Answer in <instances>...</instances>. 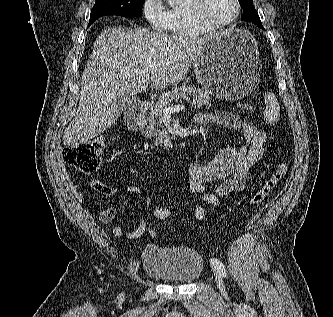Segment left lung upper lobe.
<instances>
[{"instance_id": "obj_1", "label": "left lung upper lobe", "mask_w": 333, "mask_h": 317, "mask_svg": "<svg viewBox=\"0 0 333 317\" xmlns=\"http://www.w3.org/2000/svg\"><path fill=\"white\" fill-rule=\"evenodd\" d=\"M241 6L243 7L244 13L241 17L244 21H250L255 23L257 26L263 29L262 23L260 21L258 12L253 6L252 0H238Z\"/></svg>"}]
</instances>
